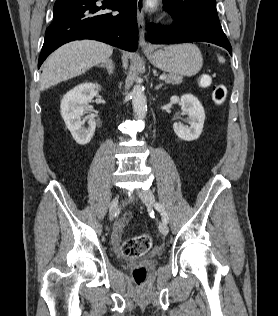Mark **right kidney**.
Masks as SVG:
<instances>
[{
	"instance_id": "right-kidney-1",
	"label": "right kidney",
	"mask_w": 278,
	"mask_h": 316,
	"mask_svg": "<svg viewBox=\"0 0 278 316\" xmlns=\"http://www.w3.org/2000/svg\"><path fill=\"white\" fill-rule=\"evenodd\" d=\"M100 86L93 83H83L67 92L61 101V115L66 127L72 134L74 140L80 145L88 144L95 132L96 122L89 115L81 120L84 112L88 110V102L99 92ZM88 120V127L82 125Z\"/></svg>"
}]
</instances>
